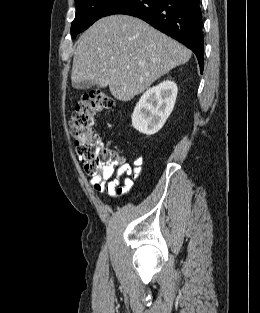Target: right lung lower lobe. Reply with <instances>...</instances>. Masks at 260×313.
<instances>
[{"instance_id": "1", "label": "right lung lower lobe", "mask_w": 260, "mask_h": 313, "mask_svg": "<svg viewBox=\"0 0 260 313\" xmlns=\"http://www.w3.org/2000/svg\"><path fill=\"white\" fill-rule=\"evenodd\" d=\"M114 14L143 19L183 43L195 53L203 71L204 36L200 0H118L103 17Z\"/></svg>"}]
</instances>
